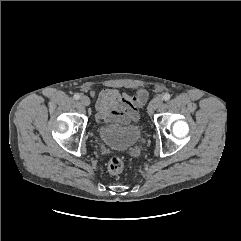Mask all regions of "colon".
Instances as JSON below:
<instances>
[{
	"label": "colon",
	"instance_id": "1",
	"mask_svg": "<svg viewBox=\"0 0 241 241\" xmlns=\"http://www.w3.org/2000/svg\"><path fill=\"white\" fill-rule=\"evenodd\" d=\"M124 162L120 157H113L109 160L107 169L111 174H119L123 171Z\"/></svg>",
	"mask_w": 241,
	"mask_h": 241
}]
</instances>
